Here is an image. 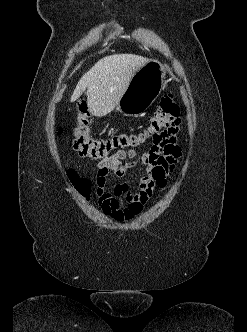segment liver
Here are the masks:
<instances>
[{"mask_svg":"<svg viewBox=\"0 0 247 332\" xmlns=\"http://www.w3.org/2000/svg\"><path fill=\"white\" fill-rule=\"evenodd\" d=\"M147 61L134 54H114L100 59L81 77L71 100H77L87 89L90 112L96 117L107 115L119 103L135 72Z\"/></svg>","mask_w":247,"mask_h":332,"instance_id":"1","label":"liver"}]
</instances>
